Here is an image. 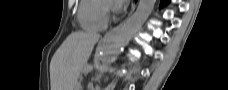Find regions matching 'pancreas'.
Wrapping results in <instances>:
<instances>
[{"label": "pancreas", "mask_w": 228, "mask_h": 90, "mask_svg": "<svg viewBox=\"0 0 228 90\" xmlns=\"http://www.w3.org/2000/svg\"><path fill=\"white\" fill-rule=\"evenodd\" d=\"M80 89H81V85H80L79 82H77V84H76V90H80Z\"/></svg>", "instance_id": "1"}]
</instances>
